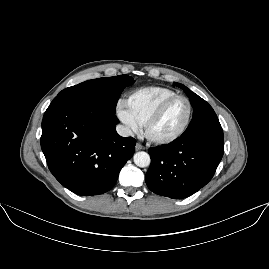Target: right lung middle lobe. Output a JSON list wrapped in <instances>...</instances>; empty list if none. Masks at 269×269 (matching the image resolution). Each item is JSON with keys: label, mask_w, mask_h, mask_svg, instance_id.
<instances>
[{"label": "right lung middle lobe", "mask_w": 269, "mask_h": 269, "mask_svg": "<svg viewBox=\"0 0 269 269\" xmlns=\"http://www.w3.org/2000/svg\"><path fill=\"white\" fill-rule=\"evenodd\" d=\"M134 82V79L128 75L88 80L62 90L56 98L91 102L115 112L121 92Z\"/></svg>", "instance_id": "1"}]
</instances>
